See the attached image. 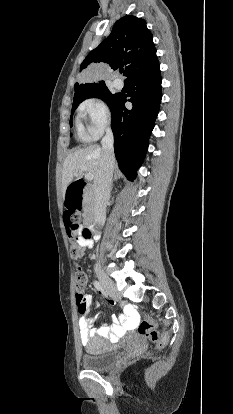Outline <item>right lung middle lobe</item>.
<instances>
[{
  "instance_id": "right-lung-middle-lobe-1",
  "label": "right lung middle lobe",
  "mask_w": 233,
  "mask_h": 414,
  "mask_svg": "<svg viewBox=\"0 0 233 414\" xmlns=\"http://www.w3.org/2000/svg\"><path fill=\"white\" fill-rule=\"evenodd\" d=\"M100 98L102 99L109 107L113 104V102L118 97V94H111L106 85H101L98 87H95L87 92H85L80 98L73 100L72 105V112H71V118H70V126H72V115L82 101H84L87 98Z\"/></svg>"
}]
</instances>
